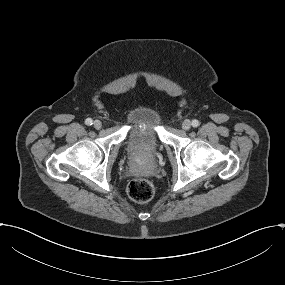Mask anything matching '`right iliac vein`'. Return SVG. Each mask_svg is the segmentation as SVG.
Returning a JSON list of instances; mask_svg holds the SVG:
<instances>
[{"label": "right iliac vein", "mask_w": 285, "mask_h": 285, "mask_svg": "<svg viewBox=\"0 0 285 285\" xmlns=\"http://www.w3.org/2000/svg\"><path fill=\"white\" fill-rule=\"evenodd\" d=\"M93 126H94L96 129H100L101 126H102V123H101V121H99V120H95L94 123H93Z\"/></svg>", "instance_id": "1"}]
</instances>
